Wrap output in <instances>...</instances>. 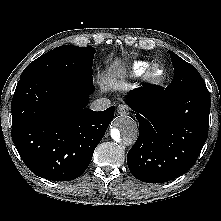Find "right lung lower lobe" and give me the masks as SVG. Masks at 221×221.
<instances>
[{
    "instance_id": "98d812e1",
    "label": "right lung lower lobe",
    "mask_w": 221,
    "mask_h": 221,
    "mask_svg": "<svg viewBox=\"0 0 221 221\" xmlns=\"http://www.w3.org/2000/svg\"><path fill=\"white\" fill-rule=\"evenodd\" d=\"M92 83L49 76L20 78L11 104L12 140L36 175L70 181L88 167L114 106L86 108Z\"/></svg>"
}]
</instances>
